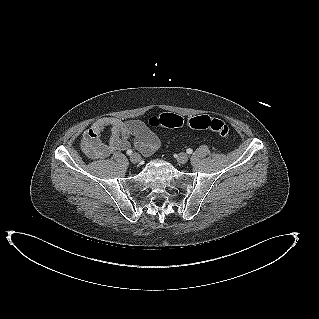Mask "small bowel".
Instances as JSON below:
<instances>
[{
    "mask_svg": "<svg viewBox=\"0 0 319 319\" xmlns=\"http://www.w3.org/2000/svg\"><path fill=\"white\" fill-rule=\"evenodd\" d=\"M109 129L107 142L101 133ZM161 145V138L141 120H122L117 117L97 119L83 134L81 147L92 160H104L111 154L135 147L142 155L153 154Z\"/></svg>",
    "mask_w": 319,
    "mask_h": 319,
    "instance_id": "c3829d8e",
    "label": "small bowel"
}]
</instances>
